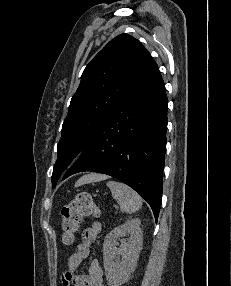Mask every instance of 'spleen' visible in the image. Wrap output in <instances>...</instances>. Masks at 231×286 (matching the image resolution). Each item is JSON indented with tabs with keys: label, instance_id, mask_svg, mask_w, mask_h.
I'll return each mask as SVG.
<instances>
[{
	"label": "spleen",
	"instance_id": "3e777b00",
	"mask_svg": "<svg viewBox=\"0 0 231 286\" xmlns=\"http://www.w3.org/2000/svg\"><path fill=\"white\" fill-rule=\"evenodd\" d=\"M112 197L119 202L120 208L126 213H134L142 207V199L132 188L118 181L106 183Z\"/></svg>",
	"mask_w": 231,
	"mask_h": 286
}]
</instances>
